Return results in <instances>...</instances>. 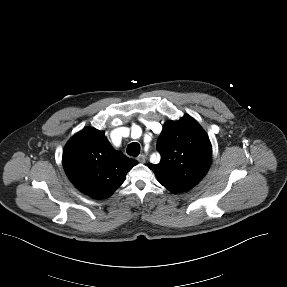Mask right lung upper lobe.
<instances>
[{
    "label": "right lung upper lobe",
    "instance_id": "right-lung-upper-lobe-1",
    "mask_svg": "<svg viewBox=\"0 0 287 287\" xmlns=\"http://www.w3.org/2000/svg\"><path fill=\"white\" fill-rule=\"evenodd\" d=\"M62 161L75 187L94 199L111 196L137 164L115 150L104 132L93 127L84 128L68 141Z\"/></svg>",
    "mask_w": 287,
    "mask_h": 287
}]
</instances>
